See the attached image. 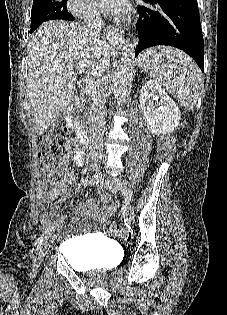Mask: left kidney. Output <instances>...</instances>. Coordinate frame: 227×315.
I'll return each instance as SVG.
<instances>
[{"mask_svg":"<svg viewBox=\"0 0 227 315\" xmlns=\"http://www.w3.org/2000/svg\"><path fill=\"white\" fill-rule=\"evenodd\" d=\"M139 102L152 133H170L179 125L181 114L177 105L157 82L149 80L142 86Z\"/></svg>","mask_w":227,"mask_h":315,"instance_id":"1","label":"left kidney"}]
</instances>
